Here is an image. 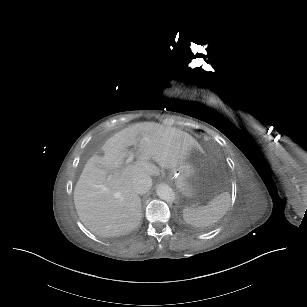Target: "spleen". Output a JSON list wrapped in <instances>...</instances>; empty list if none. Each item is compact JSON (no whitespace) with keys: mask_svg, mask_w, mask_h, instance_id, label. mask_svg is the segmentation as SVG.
I'll return each mask as SVG.
<instances>
[{"mask_svg":"<svg viewBox=\"0 0 307 307\" xmlns=\"http://www.w3.org/2000/svg\"><path fill=\"white\" fill-rule=\"evenodd\" d=\"M230 203L229 192H222L205 206H200L198 209H185L183 217L191 226H210L223 218L230 207Z\"/></svg>","mask_w":307,"mask_h":307,"instance_id":"1","label":"spleen"}]
</instances>
